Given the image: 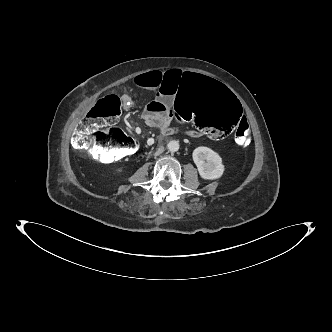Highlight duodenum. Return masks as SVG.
Listing matches in <instances>:
<instances>
[{"mask_svg": "<svg viewBox=\"0 0 332 332\" xmlns=\"http://www.w3.org/2000/svg\"><path fill=\"white\" fill-rule=\"evenodd\" d=\"M161 132H162V135L165 136V137L172 136V135L176 134V132L173 129L168 128V127L162 128Z\"/></svg>", "mask_w": 332, "mask_h": 332, "instance_id": "duodenum-1", "label": "duodenum"}]
</instances>
